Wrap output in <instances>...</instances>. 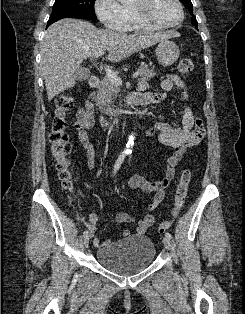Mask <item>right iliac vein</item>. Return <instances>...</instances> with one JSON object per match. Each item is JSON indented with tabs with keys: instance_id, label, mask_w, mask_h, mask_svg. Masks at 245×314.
Instances as JSON below:
<instances>
[{
	"instance_id": "63e3f726",
	"label": "right iliac vein",
	"mask_w": 245,
	"mask_h": 314,
	"mask_svg": "<svg viewBox=\"0 0 245 314\" xmlns=\"http://www.w3.org/2000/svg\"><path fill=\"white\" fill-rule=\"evenodd\" d=\"M89 241H90V236H86V237L84 238V246H85V247H88Z\"/></svg>"
}]
</instances>
